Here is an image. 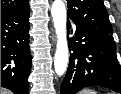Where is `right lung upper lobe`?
<instances>
[{
    "label": "right lung upper lobe",
    "mask_w": 121,
    "mask_h": 94,
    "mask_svg": "<svg viewBox=\"0 0 121 94\" xmlns=\"http://www.w3.org/2000/svg\"><path fill=\"white\" fill-rule=\"evenodd\" d=\"M28 2V0H1V16L24 8Z\"/></svg>",
    "instance_id": "obj_1"
}]
</instances>
